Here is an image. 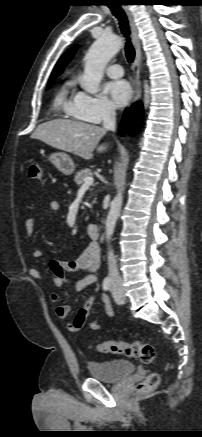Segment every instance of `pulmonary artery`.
I'll return each mask as SVG.
<instances>
[{
	"label": "pulmonary artery",
	"mask_w": 202,
	"mask_h": 437,
	"mask_svg": "<svg viewBox=\"0 0 202 437\" xmlns=\"http://www.w3.org/2000/svg\"><path fill=\"white\" fill-rule=\"evenodd\" d=\"M106 73L110 78H120L123 76L124 71L121 65L113 64L107 67Z\"/></svg>",
	"instance_id": "obj_1"
}]
</instances>
